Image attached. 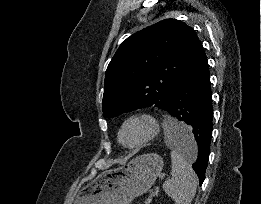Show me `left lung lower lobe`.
Segmentation results:
<instances>
[{
    "label": "left lung lower lobe",
    "mask_w": 261,
    "mask_h": 204,
    "mask_svg": "<svg viewBox=\"0 0 261 204\" xmlns=\"http://www.w3.org/2000/svg\"><path fill=\"white\" fill-rule=\"evenodd\" d=\"M166 111L187 124L188 133H175V137L195 159L193 169L202 185L210 151L213 107L207 57L199 39Z\"/></svg>",
    "instance_id": "obj_1"
}]
</instances>
